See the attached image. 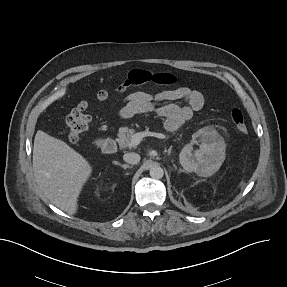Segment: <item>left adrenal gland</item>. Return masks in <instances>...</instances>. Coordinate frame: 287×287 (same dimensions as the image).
Masks as SVG:
<instances>
[{
	"mask_svg": "<svg viewBox=\"0 0 287 287\" xmlns=\"http://www.w3.org/2000/svg\"><path fill=\"white\" fill-rule=\"evenodd\" d=\"M171 150H172V146H170V148L168 149V155L171 154Z\"/></svg>",
	"mask_w": 287,
	"mask_h": 287,
	"instance_id": "obj_1",
	"label": "left adrenal gland"
}]
</instances>
